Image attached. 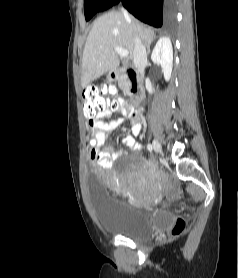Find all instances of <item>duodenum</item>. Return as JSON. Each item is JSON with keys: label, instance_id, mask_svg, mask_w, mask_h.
Returning a JSON list of instances; mask_svg holds the SVG:
<instances>
[{"label": "duodenum", "instance_id": "obj_1", "mask_svg": "<svg viewBox=\"0 0 238 278\" xmlns=\"http://www.w3.org/2000/svg\"><path fill=\"white\" fill-rule=\"evenodd\" d=\"M110 79L112 81H116L123 76H126L129 81L128 92L131 97H133L137 93L138 81H137V72L133 67L125 66L113 69L109 73Z\"/></svg>", "mask_w": 238, "mask_h": 278}]
</instances>
